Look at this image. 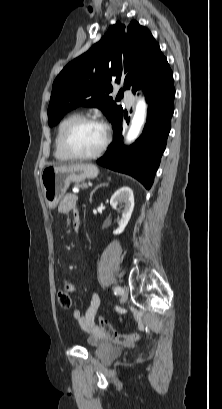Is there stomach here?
<instances>
[{"mask_svg":"<svg viewBox=\"0 0 222 409\" xmlns=\"http://www.w3.org/2000/svg\"><path fill=\"white\" fill-rule=\"evenodd\" d=\"M98 173V168L88 163L46 167L41 174V184L47 206L54 209L71 182L80 183L97 177Z\"/></svg>","mask_w":222,"mask_h":409,"instance_id":"1","label":"stomach"}]
</instances>
